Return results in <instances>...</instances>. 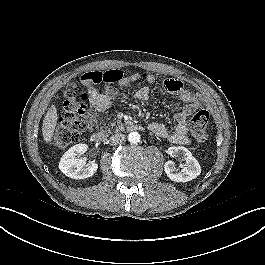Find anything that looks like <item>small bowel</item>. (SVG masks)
Here are the masks:
<instances>
[{
	"label": "small bowel",
	"instance_id": "c3829d8e",
	"mask_svg": "<svg viewBox=\"0 0 265 265\" xmlns=\"http://www.w3.org/2000/svg\"><path fill=\"white\" fill-rule=\"evenodd\" d=\"M118 71V70H114ZM113 71V72H114ZM90 73H86L81 77L83 85L87 89L89 110L87 115V124L92 127L97 113L107 110L113 99L116 96V90L112 83L104 84V92L98 91L94 83L89 78ZM117 80L115 81L120 87H126L129 84L144 79L147 83L151 84L155 81V77L151 73H132L130 75H123L120 71L116 73ZM163 90L170 94L177 95L185 104L183 109L175 114V127L173 130L168 129L165 125L158 122H151L149 129L158 137L166 139L172 143L185 145L189 143L188 138V117L199 108L198 97L186 89L183 84L175 80H166L163 83ZM150 96V89L148 86H143L135 92V98L140 101L148 100Z\"/></svg>",
	"mask_w": 265,
	"mask_h": 265
}]
</instances>
